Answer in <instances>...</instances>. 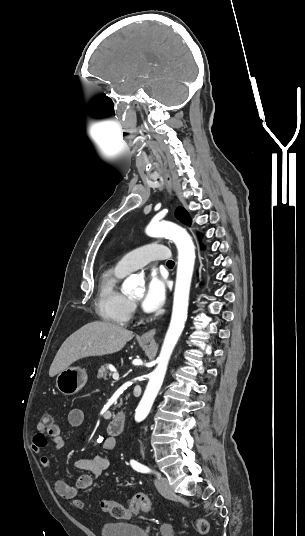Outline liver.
<instances>
[{"mask_svg": "<svg viewBox=\"0 0 305 536\" xmlns=\"http://www.w3.org/2000/svg\"><path fill=\"white\" fill-rule=\"evenodd\" d=\"M133 338V332L108 324V322H91L72 336H69L59 348L49 370L50 378L67 370L73 362L88 356H105L120 352Z\"/></svg>", "mask_w": 305, "mask_h": 536, "instance_id": "obj_1", "label": "liver"}]
</instances>
